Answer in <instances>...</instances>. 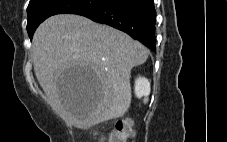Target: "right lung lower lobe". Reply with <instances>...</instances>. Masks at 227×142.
<instances>
[{
    "label": "right lung lower lobe",
    "mask_w": 227,
    "mask_h": 142,
    "mask_svg": "<svg viewBox=\"0 0 227 142\" xmlns=\"http://www.w3.org/2000/svg\"><path fill=\"white\" fill-rule=\"evenodd\" d=\"M79 15L117 28L155 51L153 0H108L105 4Z\"/></svg>",
    "instance_id": "98d812e1"
}]
</instances>
